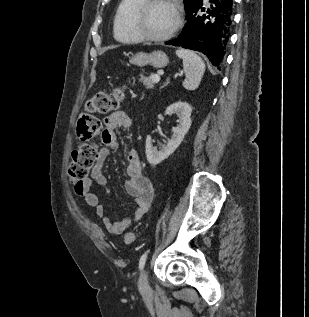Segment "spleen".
<instances>
[{"label": "spleen", "instance_id": "obj_1", "mask_svg": "<svg viewBox=\"0 0 309 317\" xmlns=\"http://www.w3.org/2000/svg\"><path fill=\"white\" fill-rule=\"evenodd\" d=\"M176 55L183 61V70L186 77L183 87L187 90L197 89L205 72L203 60L193 51L186 49L177 50Z\"/></svg>", "mask_w": 309, "mask_h": 317}]
</instances>
